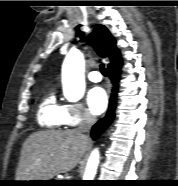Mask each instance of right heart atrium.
I'll return each mask as SVG.
<instances>
[{
	"mask_svg": "<svg viewBox=\"0 0 178 186\" xmlns=\"http://www.w3.org/2000/svg\"><path fill=\"white\" fill-rule=\"evenodd\" d=\"M94 120L93 115L81 105H67V125L78 126L91 123Z\"/></svg>",
	"mask_w": 178,
	"mask_h": 186,
	"instance_id": "obj_1",
	"label": "right heart atrium"
}]
</instances>
